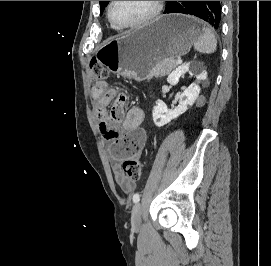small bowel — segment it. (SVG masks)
Segmentation results:
<instances>
[{
	"label": "small bowel",
	"instance_id": "obj_1",
	"mask_svg": "<svg viewBox=\"0 0 271 266\" xmlns=\"http://www.w3.org/2000/svg\"><path fill=\"white\" fill-rule=\"evenodd\" d=\"M94 112L104 138L111 142L113 155L112 171L116 182L124 192H131L135 182L125 177L120 171V164L125 159L137 157L145 144L146 135L141 129L144 112L139 107L126 110L127 97L122 99L115 89L96 85L92 88ZM112 104L111 109L108 106Z\"/></svg>",
	"mask_w": 271,
	"mask_h": 266
}]
</instances>
